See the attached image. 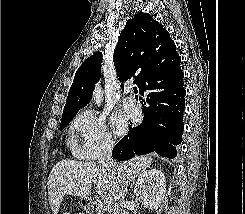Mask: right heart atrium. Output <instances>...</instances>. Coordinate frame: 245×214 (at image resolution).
Wrapping results in <instances>:
<instances>
[{
    "label": "right heart atrium",
    "mask_w": 245,
    "mask_h": 214,
    "mask_svg": "<svg viewBox=\"0 0 245 214\" xmlns=\"http://www.w3.org/2000/svg\"><path fill=\"white\" fill-rule=\"evenodd\" d=\"M73 154L81 159L94 160L107 154L113 139L103 118L91 110H81L70 125Z\"/></svg>",
    "instance_id": "1"
}]
</instances>
